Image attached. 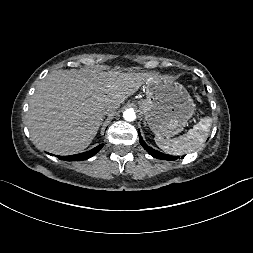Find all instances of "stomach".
I'll return each instance as SVG.
<instances>
[{
  "mask_svg": "<svg viewBox=\"0 0 253 253\" xmlns=\"http://www.w3.org/2000/svg\"><path fill=\"white\" fill-rule=\"evenodd\" d=\"M144 91L146 98L138 105L150 129L166 137L180 133L195 111L185 87L168 78L150 77Z\"/></svg>",
  "mask_w": 253,
  "mask_h": 253,
  "instance_id": "obj_1",
  "label": "stomach"
}]
</instances>
